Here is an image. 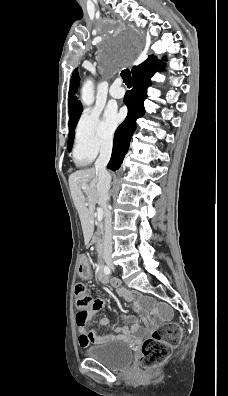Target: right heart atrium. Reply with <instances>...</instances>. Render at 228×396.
<instances>
[{"mask_svg": "<svg viewBox=\"0 0 228 396\" xmlns=\"http://www.w3.org/2000/svg\"><path fill=\"white\" fill-rule=\"evenodd\" d=\"M113 134L93 110L84 111L75 128L74 156L79 162L91 161L99 152L112 147Z\"/></svg>", "mask_w": 228, "mask_h": 396, "instance_id": "d8ad5b80", "label": "right heart atrium"}]
</instances>
